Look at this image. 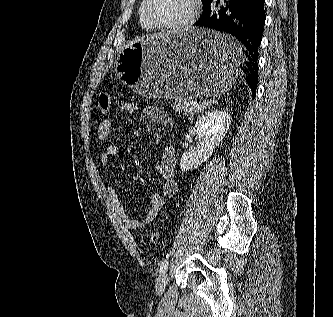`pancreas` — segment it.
I'll list each match as a JSON object with an SVG mask.
<instances>
[{"label": "pancreas", "instance_id": "pancreas-1", "mask_svg": "<svg viewBox=\"0 0 333 317\" xmlns=\"http://www.w3.org/2000/svg\"><path fill=\"white\" fill-rule=\"evenodd\" d=\"M206 106L207 104L205 103L193 105L191 101L186 100H176L173 103V108L175 109V111L183 115H193L195 113L201 112Z\"/></svg>", "mask_w": 333, "mask_h": 317}]
</instances>
